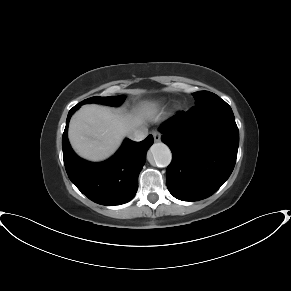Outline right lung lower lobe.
<instances>
[{"mask_svg":"<svg viewBox=\"0 0 291 291\" xmlns=\"http://www.w3.org/2000/svg\"><path fill=\"white\" fill-rule=\"evenodd\" d=\"M79 107L76 105L69 111L62 136L63 160L69 179L95 203L113 206L132 200L153 137L149 135L141 142L125 139L116 154L107 161H85L73 152L67 138L70 117Z\"/></svg>","mask_w":291,"mask_h":291,"instance_id":"obj_1","label":"right lung lower lobe"}]
</instances>
